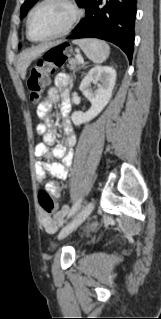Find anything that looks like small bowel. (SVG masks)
Segmentation results:
<instances>
[{
    "mask_svg": "<svg viewBox=\"0 0 161 319\" xmlns=\"http://www.w3.org/2000/svg\"><path fill=\"white\" fill-rule=\"evenodd\" d=\"M59 101H61V128L65 137V142L64 144L55 145L57 136L55 128L50 121V115L52 105ZM70 110L71 104L68 75L66 73H59L55 77V85L48 90L45 100L37 108V115L44 123L38 125L36 130L38 133L42 134L43 142L38 143L34 149V154L39 159L36 164L37 179H43L46 173H49L55 178L49 185V191L56 199H60L63 191L67 188V185L60 182V180H64L68 176V168L72 165L71 150L76 144V135L73 131L71 122L67 119ZM51 145H55V147L53 151L49 153L47 147ZM49 158H63V163L50 162L48 161ZM68 211V205H62L54 214L43 211L40 217L42 228L46 232L55 231L64 221Z\"/></svg>",
    "mask_w": 161,
    "mask_h": 319,
    "instance_id": "1",
    "label": "small bowel"
}]
</instances>
